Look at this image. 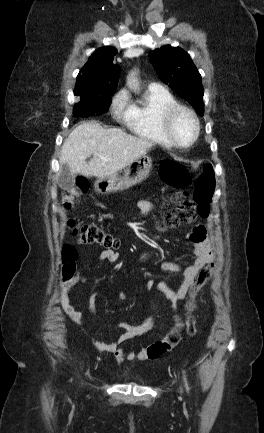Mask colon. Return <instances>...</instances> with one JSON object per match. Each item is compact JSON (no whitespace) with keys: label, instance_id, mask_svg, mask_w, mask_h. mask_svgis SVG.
Wrapping results in <instances>:
<instances>
[{"label":"colon","instance_id":"1","mask_svg":"<svg viewBox=\"0 0 264 433\" xmlns=\"http://www.w3.org/2000/svg\"><path fill=\"white\" fill-rule=\"evenodd\" d=\"M161 179L169 186L183 189L193 185L191 195L179 193L174 197L175 209L163 214L158 225L159 230L177 228L181 225L192 223L198 216H207L210 212V202L215 188L214 170L210 163H205L195 178L184 166L174 161H165L160 168ZM88 189V183L79 179L76 184L68 189L63 196L65 209H72L75 201ZM68 226L76 236L80 244H96L106 249L117 250L119 241L110 233L95 225H77L73 220L68 221ZM77 251L71 245H64L62 249V274L64 280L71 278L76 269ZM214 263L210 262L197 274L186 301V333L193 336L196 333L195 320L192 312L195 309V298L206 282L212 276Z\"/></svg>","mask_w":264,"mask_h":433}]
</instances>
